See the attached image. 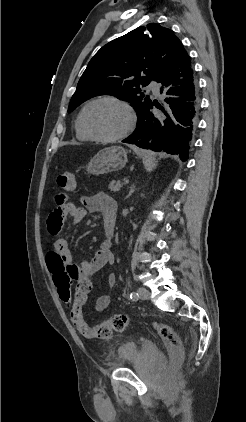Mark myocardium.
<instances>
[{
    "label": "myocardium",
    "instance_id": "myocardium-1",
    "mask_svg": "<svg viewBox=\"0 0 246 422\" xmlns=\"http://www.w3.org/2000/svg\"><path fill=\"white\" fill-rule=\"evenodd\" d=\"M103 101H110V102H114L118 105H120L126 112L127 114V124L125 126V128L118 134L114 135V136H110V137H102V136H98L96 134H94L88 127L87 125V121H86V114L88 109L99 102H103ZM80 122H81V126L83 131L85 132V134L93 141H97V142H101V143H113L116 141H119L123 138H125L126 136H128L131 131L133 130L134 126H135V122H136V116L134 113V110L132 108V106L125 100L117 97V96H113V95H105V96H100L97 97L91 101H89L82 109L81 113H80Z\"/></svg>",
    "mask_w": 246,
    "mask_h": 422
}]
</instances>
